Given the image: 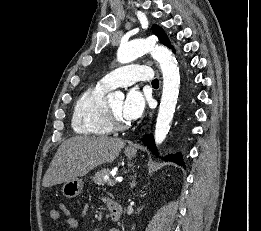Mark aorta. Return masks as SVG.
Here are the masks:
<instances>
[{"label":"aorta","mask_w":261,"mask_h":231,"mask_svg":"<svg viewBox=\"0 0 261 231\" xmlns=\"http://www.w3.org/2000/svg\"><path fill=\"white\" fill-rule=\"evenodd\" d=\"M146 53H151L157 60L163 74V92L155 127V142L159 145L165 140L170 130V122L173 119L179 94L180 74L172 52L164 46L154 45L146 40L122 43L117 51V60L120 63H129ZM108 98L122 100L124 94L116 91L110 93Z\"/></svg>","instance_id":"762f6f07"}]
</instances>
